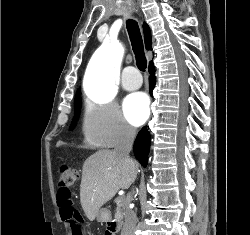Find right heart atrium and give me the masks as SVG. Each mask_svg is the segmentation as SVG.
<instances>
[{"label": "right heart atrium", "instance_id": "obj_1", "mask_svg": "<svg viewBox=\"0 0 250 235\" xmlns=\"http://www.w3.org/2000/svg\"><path fill=\"white\" fill-rule=\"evenodd\" d=\"M81 130L86 143L106 148L130 143L136 136L134 127L127 122L118 106L112 102H87Z\"/></svg>", "mask_w": 250, "mask_h": 235}]
</instances>
